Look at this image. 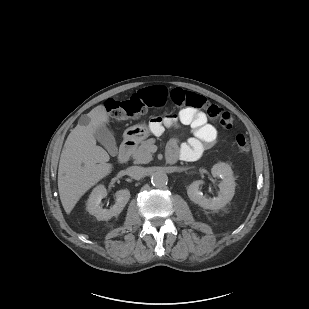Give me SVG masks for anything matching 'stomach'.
<instances>
[{
  "label": "stomach",
  "mask_w": 309,
  "mask_h": 309,
  "mask_svg": "<svg viewBox=\"0 0 309 309\" xmlns=\"http://www.w3.org/2000/svg\"><path fill=\"white\" fill-rule=\"evenodd\" d=\"M150 135L146 125H134L127 128L123 134L125 140L141 142Z\"/></svg>",
  "instance_id": "obj_1"
}]
</instances>
